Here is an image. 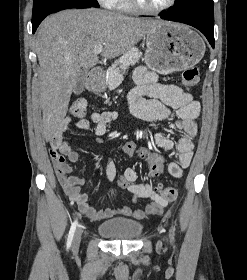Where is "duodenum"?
Masks as SVG:
<instances>
[{
  "label": "duodenum",
  "mask_w": 247,
  "mask_h": 280,
  "mask_svg": "<svg viewBox=\"0 0 247 280\" xmlns=\"http://www.w3.org/2000/svg\"><path fill=\"white\" fill-rule=\"evenodd\" d=\"M103 71L100 68H95L91 71L89 80H88V88L91 91H97L100 89L103 79Z\"/></svg>",
  "instance_id": "410a0bca"
}]
</instances>
